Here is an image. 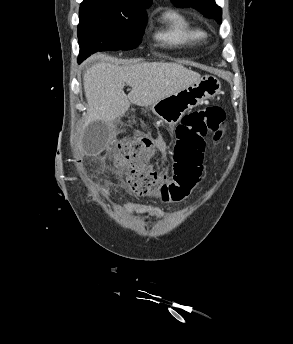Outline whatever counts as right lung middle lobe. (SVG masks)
I'll return each instance as SVG.
<instances>
[{
  "instance_id": "right-lung-middle-lobe-1",
  "label": "right lung middle lobe",
  "mask_w": 293,
  "mask_h": 344,
  "mask_svg": "<svg viewBox=\"0 0 293 344\" xmlns=\"http://www.w3.org/2000/svg\"><path fill=\"white\" fill-rule=\"evenodd\" d=\"M79 20L78 63H81L97 51L136 48L141 42L147 16L133 8L90 1L81 3Z\"/></svg>"
}]
</instances>
